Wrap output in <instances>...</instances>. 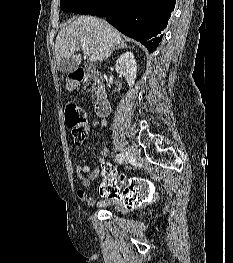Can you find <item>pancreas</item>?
<instances>
[{
	"label": "pancreas",
	"instance_id": "pancreas-1",
	"mask_svg": "<svg viewBox=\"0 0 233 263\" xmlns=\"http://www.w3.org/2000/svg\"><path fill=\"white\" fill-rule=\"evenodd\" d=\"M94 90H95V88H94V86L92 87V90H91V93H93L94 92Z\"/></svg>",
	"mask_w": 233,
	"mask_h": 263
}]
</instances>
